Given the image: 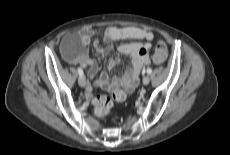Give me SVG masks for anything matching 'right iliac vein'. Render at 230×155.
Here are the masks:
<instances>
[{
	"label": "right iliac vein",
	"mask_w": 230,
	"mask_h": 155,
	"mask_svg": "<svg viewBox=\"0 0 230 155\" xmlns=\"http://www.w3.org/2000/svg\"><path fill=\"white\" fill-rule=\"evenodd\" d=\"M78 83L81 87H85L86 86L85 78L83 76H80L78 79Z\"/></svg>",
	"instance_id": "63e3f726"
}]
</instances>
